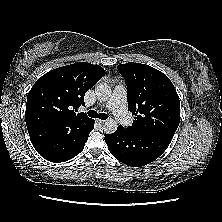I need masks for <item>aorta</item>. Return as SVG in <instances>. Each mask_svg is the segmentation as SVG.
Instances as JSON below:
<instances>
[{
    "label": "aorta",
    "instance_id": "obj_1",
    "mask_svg": "<svg viewBox=\"0 0 222 222\" xmlns=\"http://www.w3.org/2000/svg\"><path fill=\"white\" fill-rule=\"evenodd\" d=\"M111 88L107 84L100 83L95 87V94L99 101H107L111 97ZM117 122L113 118H109L103 125L104 132L113 134L117 130Z\"/></svg>",
    "mask_w": 222,
    "mask_h": 222
}]
</instances>
